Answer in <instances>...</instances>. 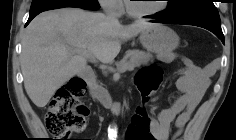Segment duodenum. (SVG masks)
<instances>
[{
    "label": "duodenum",
    "instance_id": "1",
    "mask_svg": "<svg viewBox=\"0 0 236 140\" xmlns=\"http://www.w3.org/2000/svg\"><path fill=\"white\" fill-rule=\"evenodd\" d=\"M81 75L88 82H94L95 75L93 71L89 68H83L81 70ZM91 97L97 100L105 108L115 110L117 113L121 112V107L114 103L112 99L100 87L96 86L95 84L91 89Z\"/></svg>",
    "mask_w": 236,
    "mask_h": 140
}]
</instances>
